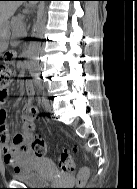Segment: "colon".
Segmentation results:
<instances>
[{"mask_svg":"<svg viewBox=\"0 0 137 189\" xmlns=\"http://www.w3.org/2000/svg\"><path fill=\"white\" fill-rule=\"evenodd\" d=\"M9 56V55H8ZM10 60V57H8ZM14 79V71L8 64H0V98L6 96L5 89L9 86ZM38 106L35 104H30L26 108V114L29 116H34L38 113ZM25 144L27 148L33 152L36 156H44L47 151V146L45 141L38 136H29ZM59 168L62 172H70L74 169V160L71 154L67 151L61 153L59 157Z\"/></svg>","mask_w":137,"mask_h":189,"instance_id":"obj_1","label":"colon"}]
</instances>
